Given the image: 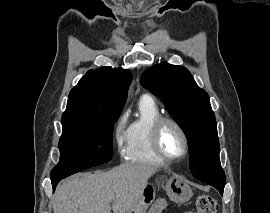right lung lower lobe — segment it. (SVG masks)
<instances>
[{
    "label": "right lung lower lobe",
    "instance_id": "98d812e1",
    "mask_svg": "<svg viewBox=\"0 0 270 213\" xmlns=\"http://www.w3.org/2000/svg\"><path fill=\"white\" fill-rule=\"evenodd\" d=\"M67 176H62V177H57V178H53L51 179V182H52V186H53V191L55 190L57 184L59 183V181L63 178H65Z\"/></svg>",
    "mask_w": 270,
    "mask_h": 213
}]
</instances>
